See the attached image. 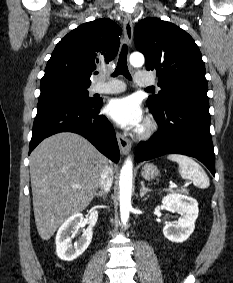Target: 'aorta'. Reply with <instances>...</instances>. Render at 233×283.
<instances>
[{"label":"aorta","mask_w":233,"mask_h":283,"mask_svg":"<svg viewBox=\"0 0 233 283\" xmlns=\"http://www.w3.org/2000/svg\"><path fill=\"white\" fill-rule=\"evenodd\" d=\"M129 60L134 67L142 66L145 61L141 53H132ZM132 174L133 163L131 158L128 157L122 166L119 177L120 217L123 224L128 222L131 210Z\"/></svg>","instance_id":"aorta-1"}]
</instances>
